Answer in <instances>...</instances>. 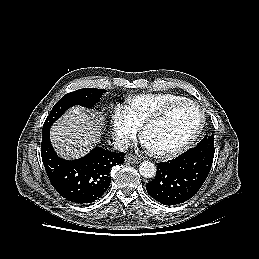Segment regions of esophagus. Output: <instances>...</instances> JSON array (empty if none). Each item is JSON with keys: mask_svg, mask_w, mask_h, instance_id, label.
Masks as SVG:
<instances>
[{"mask_svg": "<svg viewBox=\"0 0 259 259\" xmlns=\"http://www.w3.org/2000/svg\"><path fill=\"white\" fill-rule=\"evenodd\" d=\"M125 160L131 163H139L140 159L137 158L136 156L132 155V154H128L125 157Z\"/></svg>", "mask_w": 259, "mask_h": 259, "instance_id": "1", "label": "esophagus"}]
</instances>
